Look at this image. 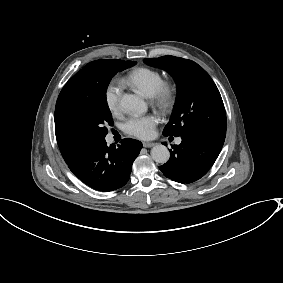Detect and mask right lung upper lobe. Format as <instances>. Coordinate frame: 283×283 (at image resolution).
<instances>
[{"label":"right lung upper lobe","instance_id":"obj_1","mask_svg":"<svg viewBox=\"0 0 283 283\" xmlns=\"http://www.w3.org/2000/svg\"><path fill=\"white\" fill-rule=\"evenodd\" d=\"M112 60L114 59L96 60L88 63L67 82L58 97L55 109V134L59 149L67 164L79 158L95 141L79 135L64 124L60 115L61 100L88 86L99 74L101 68Z\"/></svg>","mask_w":283,"mask_h":283}]
</instances>
